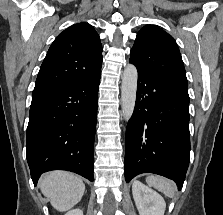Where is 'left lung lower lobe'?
Here are the masks:
<instances>
[{"label": "left lung lower lobe", "instance_id": "obj_1", "mask_svg": "<svg viewBox=\"0 0 223 215\" xmlns=\"http://www.w3.org/2000/svg\"><path fill=\"white\" fill-rule=\"evenodd\" d=\"M190 161L188 91L138 73L136 104L126 129L125 179L155 173L183 186Z\"/></svg>", "mask_w": 223, "mask_h": 215}]
</instances>
